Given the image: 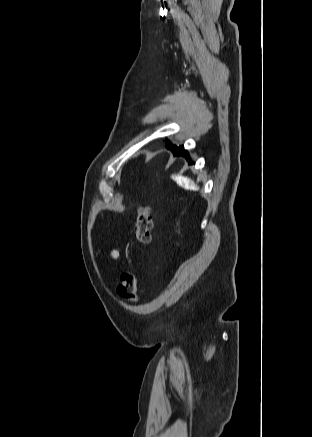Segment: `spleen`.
Masks as SVG:
<instances>
[{"mask_svg": "<svg viewBox=\"0 0 312 437\" xmlns=\"http://www.w3.org/2000/svg\"><path fill=\"white\" fill-rule=\"evenodd\" d=\"M175 181L181 185L184 186L186 189H192V190H198L199 187L195 185L194 182L190 181L187 178L184 177H175Z\"/></svg>", "mask_w": 312, "mask_h": 437, "instance_id": "1", "label": "spleen"}]
</instances>
